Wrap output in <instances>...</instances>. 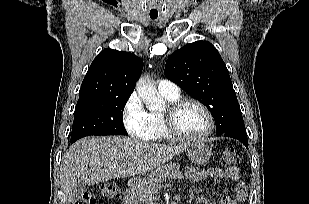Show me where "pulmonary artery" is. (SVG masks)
<instances>
[{
	"instance_id": "e3ab8cb5",
	"label": "pulmonary artery",
	"mask_w": 309,
	"mask_h": 204,
	"mask_svg": "<svg viewBox=\"0 0 309 204\" xmlns=\"http://www.w3.org/2000/svg\"><path fill=\"white\" fill-rule=\"evenodd\" d=\"M157 89L162 95L178 96L180 94L179 87L175 83L165 79L157 81Z\"/></svg>"
}]
</instances>
